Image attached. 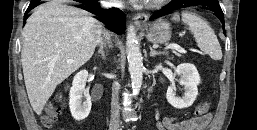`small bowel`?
I'll use <instances>...</instances> for the list:
<instances>
[{
  "label": "small bowel",
  "instance_id": "small-bowel-1",
  "mask_svg": "<svg viewBox=\"0 0 257 130\" xmlns=\"http://www.w3.org/2000/svg\"><path fill=\"white\" fill-rule=\"evenodd\" d=\"M210 115L198 118L178 120L174 117H165L158 123L159 130H202L209 122Z\"/></svg>",
  "mask_w": 257,
  "mask_h": 130
}]
</instances>
